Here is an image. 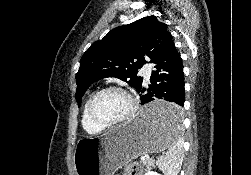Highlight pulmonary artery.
Here are the masks:
<instances>
[{"label":"pulmonary artery","instance_id":"pulmonary-artery-1","mask_svg":"<svg viewBox=\"0 0 251 175\" xmlns=\"http://www.w3.org/2000/svg\"><path fill=\"white\" fill-rule=\"evenodd\" d=\"M154 65H143V74H141V79L149 80L151 76V70H154Z\"/></svg>","mask_w":251,"mask_h":175}]
</instances>
